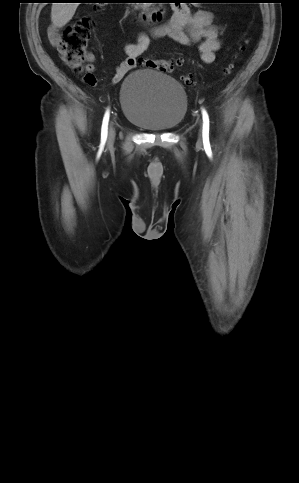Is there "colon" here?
I'll return each instance as SVG.
<instances>
[{"label": "colon", "instance_id": "1", "mask_svg": "<svg viewBox=\"0 0 299 483\" xmlns=\"http://www.w3.org/2000/svg\"><path fill=\"white\" fill-rule=\"evenodd\" d=\"M94 26L92 18L84 16L70 24L62 35L58 50L64 64L74 72L83 70L86 60V50L90 38L91 30ZM142 66L155 69L159 72L169 73L176 67L182 65L181 60H164V59H141ZM227 73L230 72L228 68ZM187 85H194L195 80L190 75L184 77ZM84 82L93 86L97 80L93 73L87 72L84 76Z\"/></svg>", "mask_w": 299, "mask_h": 483}]
</instances>
